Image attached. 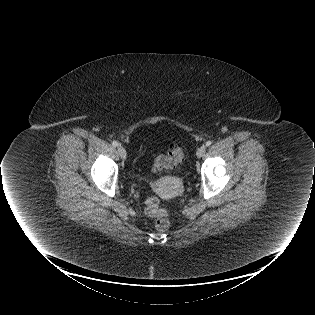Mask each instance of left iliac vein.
Listing matches in <instances>:
<instances>
[{
    "label": "left iliac vein",
    "instance_id": "left-iliac-vein-1",
    "mask_svg": "<svg viewBox=\"0 0 315 315\" xmlns=\"http://www.w3.org/2000/svg\"><path fill=\"white\" fill-rule=\"evenodd\" d=\"M206 151V146L202 145L197 149L196 155L198 158L202 157Z\"/></svg>",
    "mask_w": 315,
    "mask_h": 315
}]
</instances>
